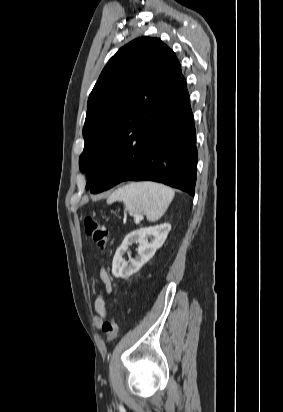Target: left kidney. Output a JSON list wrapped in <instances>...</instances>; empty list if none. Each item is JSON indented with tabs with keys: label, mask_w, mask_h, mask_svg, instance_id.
<instances>
[{
	"label": "left kidney",
	"mask_w": 283,
	"mask_h": 412,
	"mask_svg": "<svg viewBox=\"0 0 283 412\" xmlns=\"http://www.w3.org/2000/svg\"><path fill=\"white\" fill-rule=\"evenodd\" d=\"M171 225L168 223L145 227L135 230L124 238L121 246L116 250L112 262V274L116 278H128L146 264L165 242ZM150 238V242L148 239ZM133 243H138V256L131 258L128 262L124 260L123 255L128 247Z\"/></svg>",
	"instance_id": "1"
}]
</instances>
